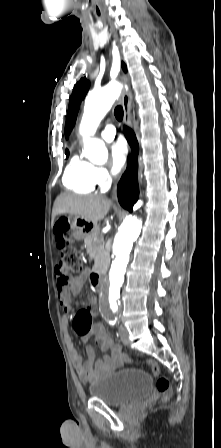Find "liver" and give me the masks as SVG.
Segmentation results:
<instances>
[{
    "instance_id": "liver-1",
    "label": "liver",
    "mask_w": 221,
    "mask_h": 448,
    "mask_svg": "<svg viewBox=\"0 0 221 448\" xmlns=\"http://www.w3.org/2000/svg\"><path fill=\"white\" fill-rule=\"evenodd\" d=\"M110 206L111 201L102 196H77L64 193L55 200L53 218L60 214H69L96 224L104 219Z\"/></svg>"
}]
</instances>
